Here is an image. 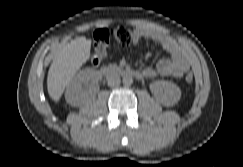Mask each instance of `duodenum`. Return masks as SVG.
Returning <instances> with one entry per match:
<instances>
[{
	"mask_svg": "<svg viewBox=\"0 0 243 167\" xmlns=\"http://www.w3.org/2000/svg\"><path fill=\"white\" fill-rule=\"evenodd\" d=\"M100 73L106 77H114L117 75L129 76L137 79L145 77L142 71L116 65L104 66L100 68Z\"/></svg>",
	"mask_w": 243,
	"mask_h": 167,
	"instance_id": "1",
	"label": "duodenum"
}]
</instances>
